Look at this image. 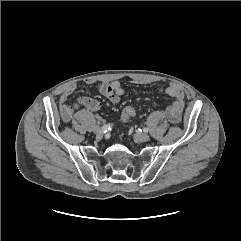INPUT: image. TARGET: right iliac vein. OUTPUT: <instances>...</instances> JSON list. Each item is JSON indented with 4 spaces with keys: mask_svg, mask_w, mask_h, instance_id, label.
I'll return each mask as SVG.
<instances>
[{
    "mask_svg": "<svg viewBox=\"0 0 241 241\" xmlns=\"http://www.w3.org/2000/svg\"><path fill=\"white\" fill-rule=\"evenodd\" d=\"M94 133H95L97 136H102V135L104 134L102 128H100V127H98V126H96V127L94 128Z\"/></svg>",
    "mask_w": 241,
    "mask_h": 241,
    "instance_id": "right-iliac-vein-1",
    "label": "right iliac vein"
}]
</instances>
